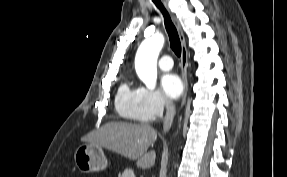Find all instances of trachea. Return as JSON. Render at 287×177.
Instances as JSON below:
<instances>
[{
  "label": "trachea",
  "instance_id": "obj_1",
  "mask_svg": "<svg viewBox=\"0 0 287 177\" xmlns=\"http://www.w3.org/2000/svg\"><path fill=\"white\" fill-rule=\"evenodd\" d=\"M152 1L160 9V11L162 12V14L164 16V24H165V28H166V31H167L168 36H169L171 49L174 51V53L178 57H180L182 48H181V41L179 38V34L177 32V29H176L175 25L173 24L168 12L166 11L164 6L160 2V0H152Z\"/></svg>",
  "mask_w": 287,
  "mask_h": 177
}]
</instances>
